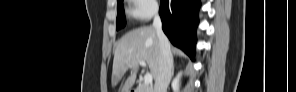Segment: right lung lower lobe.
<instances>
[{
	"label": "right lung lower lobe",
	"instance_id": "1",
	"mask_svg": "<svg viewBox=\"0 0 296 92\" xmlns=\"http://www.w3.org/2000/svg\"><path fill=\"white\" fill-rule=\"evenodd\" d=\"M200 0H161L162 28L171 43L194 60Z\"/></svg>",
	"mask_w": 296,
	"mask_h": 92
}]
</instances>
